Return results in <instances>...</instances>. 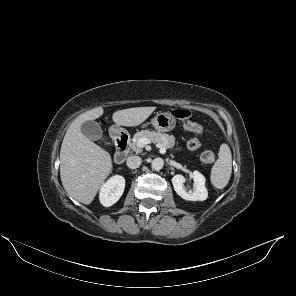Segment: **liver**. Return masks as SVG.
<instances>
[{
	"label": "liver",
	"instance_id": "liver-1",
	"mask_svg": "<svg viewBox=\"0 0 296 296\" xmlns=\"http://www.w3.org/2000/svg\"><path fill=\"white\" fill-rule=\"evenodd\" d=\"M156 107H136L113 113L118 126L133 127L143 123ZM97 107L84 112L68 128L60 150V177L69 196L83 204H90L113 169L111 155L81 132L85 121L103 115Z\"/></svg>",
	"mask_w": 296,
	"mask_h": 296
}]
</instances>
